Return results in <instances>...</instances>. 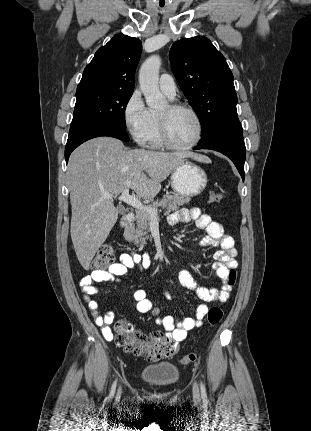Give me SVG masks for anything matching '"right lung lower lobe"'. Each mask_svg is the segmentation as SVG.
<instances>
[{
	"label": "right lung lower lobe",
	"instance_id": "obj_1",
	"mask_svg": "<svg viewBox=\"0 0 311 431\" xmlns=\"http://www.w3.org/2000/svg\"><path fill=\"white\" fill-rule=\"evenodd\" d=\"M125 129L126 128H120L114 125L100 122L87 123L70 129L68 141L65 148L66 163L68 162L69 156L72 151L80 144L89 139L100 136H110L123 141H129Z\"/></svg>",
	"mask_w": 311,
	"mask_h": 431
}]
</instances>
